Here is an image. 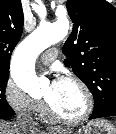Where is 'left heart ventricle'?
Wrapping results in <instances>:
<instances>
[{
  "label": "left heart ventricle",
  "instance_id": "1",
  "mask_svg": "<svg viewBox=\"0 0 116 134\" xmlns=\"http://www.w3.org/2000/svg\"><path fill=\"white\" fill-rule=\"evenodd\" d=\"M52 107L61 115L76 117L85 109V98L80 88L71 82L61 81L58 89L53 91L51 85L44 91Z\"/></svg>",
  "mask_w": 116,
  "mask_h": 134
}]
</instances>
